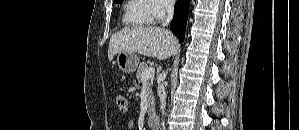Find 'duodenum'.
I'll return each mask as SVG.
<instances>
[{"label":"duodenum","mask_w":299,"mask_h":130,"mask_svg":"<svg viewBox=\"0 0 299 130\" xmlns=\"http://www.w3.org/2000/svg\"><path fill=\"white\" fill-rule=\"evenodd\" d=\"M147 124L151 129H157L159 126L158 117L154 114H150L147 118Z\"/></svg>","instance_id":"1"}]
</instances>
